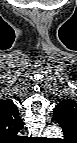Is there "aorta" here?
Returning <instances> with one entry per match:
<instances>
[{
  "instance_id": "1",
  "label": "aorta",
  "mask_w": 77,
  "mask_h": 143,
  "mask_svg": "<svg viewBox=\"0 0 77 143\" xmlns=\"http://www.w3.org/2000/svg\"><path fill=\"white\" fill-rule=\"evenodd\" d=\"M61 132L60 128L57 126H51L46 129L45 134L47 135H54V134H59Z\"/></svg>"
}]
</instances>
